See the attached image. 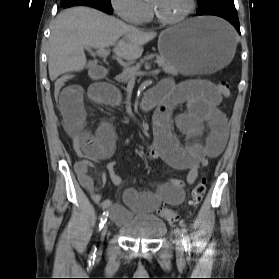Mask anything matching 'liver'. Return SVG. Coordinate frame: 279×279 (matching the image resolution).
Returning a JSON list of instances; mask_svg holds the SVG:
<instances>
[{
	"label": "liver",
	"instance_id": "obj_1",
	"mask_svg": "<svg viewBox=\"0 0 279 279\" xmlns=\"http://www.w3.org/2000/svg\"><path fill=\"white\" fill-rule=\"evenodd\" d=\"M123 21L89 7L64 10L51 26L48 52L50 80L69 72L82 71L87 59L84 49L114 46L116 56L134 61L141 57L143 45L156 37Z\"/></svg>",
	"mask_w": 279,
	"mask_h": 279
}]
</instances>
